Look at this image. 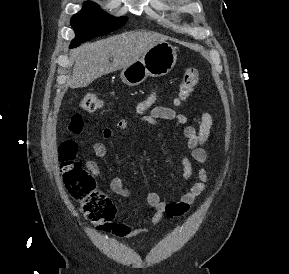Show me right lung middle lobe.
Instances as JSON below:
<instances>
[{
	"instance_id": "right-lung-middle-lobe-1",
	"label": "right lung middle lobe",
	"mask_w": 289,
	"mask_h": 274,
	"mask_svg": "<svg viewBox=\"0 0 289 274\" xmlns=\"http://www.w3.org/2000/svg\"><path fill=\"white\" fill-rule=\"evenodd\" d=\"M127 22L122 16H109L93 2H85L83 9L71 18V25L75 29L76 38L72 40L70 48L77 47L93 37L109 34L121 28Z\"/></svg>"
}]
</instances>
